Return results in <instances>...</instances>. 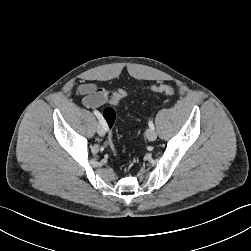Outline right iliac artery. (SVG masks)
<instances>
[{
	"mask_svg": "<svg viewBox=\"0 0 251 251\" xmlns=\"http://www.w3.org/2000/svg\"><path fill=\"white\" fill-rule=\"evenodd\" d=\"M93 113L96 115V117L98 118L100 124H102V126L104 127L105 130H107V126L106 123L101 115V113L97 110H94Z\"/></svg>",
	"mask_w": 251,
	"mask_h": 251,
	"instance_id": "right-iliac-artery-1",
	"label": "right iliac artery"
}]
</instances>
